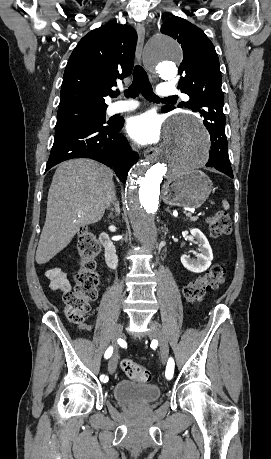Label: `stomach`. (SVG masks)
<instances>
[{"label": "stomach", "instance_id": "0dacf381", "mask_svg": "<svg viewBox=\"0 0 271 459\" xmlns=\"http://www.w3.org/2000/svg\"><path fill=\"white\" fill-rule=\"evenodd\" d=\"M212 182L204 172L193 170L167 180L162 190V200L168 206L200 208L211 194Z\"/></svg>", "mask_w": 271, "mask_h": 459}]
</instances>
